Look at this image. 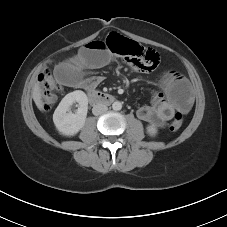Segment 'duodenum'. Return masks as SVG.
<instances>
[{
    "label": "duodenum",
    "instance_id": "duodenum-1",
    "mask_svg": "<svg viewBox=\"0 0 227 227\" xmlns=\"http://www.w3.org/2000/svg\"><path fill=\"white\" fill-rule=\"evenodd\" d=\"M88 99L90 103L94 105L110 104L115 101V97L113 95L95 90L88 91Z\"/></svg>",
    "mask_w": 227,
    "mask_h": 227
}]
</instances>
